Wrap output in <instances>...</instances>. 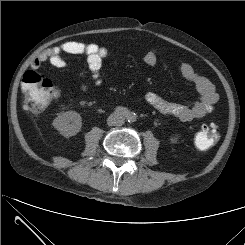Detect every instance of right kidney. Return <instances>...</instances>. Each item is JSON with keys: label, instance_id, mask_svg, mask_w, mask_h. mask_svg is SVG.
<instances>
[{"label": "right kidney", "instance_id": "right-kidney-1", "mask_svg": "<svg viewBox=\"0 0 245 245\" xmlns=\"http://www.w3.org/2000/svg\"><path fill=\"white\" fill-rule=\"evenodd\" d=\"M71 121L72 123H70ZM53 126L64 137H71L80 132L82 119L75 111L62 112L53 120Z\"/></svg>", "mask_w": 245, "mask_h": 245}]
</instances>
